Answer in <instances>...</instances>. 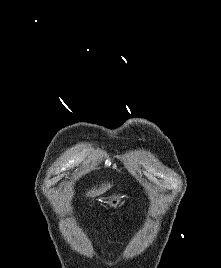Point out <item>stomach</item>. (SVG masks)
I'll list each match as a JSON object with an SVG mask.
<instances>
[{
    "mask_svg": "<svg viewBox=\"0 0 221 268\" xmlns=\"http://www.w3.org/2000/svg\"><path fill=\"white\" fill-rule=\"evenodd\" d=\"M123 198H124V195H122L121 193H113L107 198V203L111 207L116 208L117 206L123 203L122 201Z\"/></svg>",
    "mask_w": 221,
    "mask_h": 268,
    "instance_id": "0dacf381",
    "label": "stomach"
}]
</instances>
